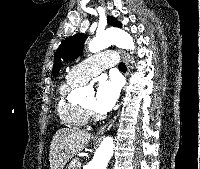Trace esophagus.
Here are the masks:
<instances>
[{
	"label": "esophagus",
	"instance_id": "esophagus-1",
	"mask_svg": "<svg viewBox=\"0 0 200 169\" xmlns=\"http://www.w3.org/2000/svg\"><path fill=\"white\" fill-rule=\"evenodd\" d=\"M119 53H120V55H121L123 61H124L125 64L127 65L126 77L128 78V77L130 76V72H131L130 62H129V60H128L126 54H125L123 51L119 50ZM117 116H118V114H117L113 119H111L107 124H105V125H103L102 127H100V128L97 130L96 135H101V134H103L108 128H110V127L114 124V122L116 121Z\"/></svg>",
	"mask_w": 200,
	"mask_h": 169
}]
</instances>
